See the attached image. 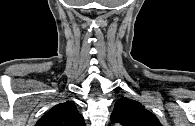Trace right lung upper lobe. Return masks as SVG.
Returning a JSON list of instances; mask_svg holds the SVG:
<instances>
[{"label":"right lung upper lobe","mask_w":195,"mask_h":126,"mask_svg":"<svg viewBox=\"0 0 195 126\" xmlns=\"http://www.w3.org/2000/svg\"><path fill=\"white\" fill-rule=\"evenodd\" d=\"M35 126H85V123L75 104L67 101L51 108Z\"/></svg>","instance_id":"cb5924a9"}]
</instances>
